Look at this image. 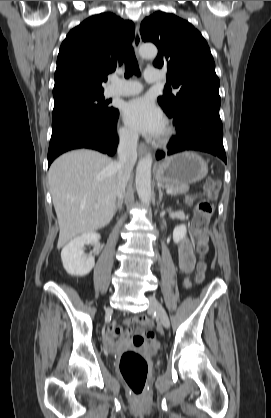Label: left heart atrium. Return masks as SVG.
<instances>
[{
  "instance_id": "39dd6f15",
  "label": "left heart atrium",
  "mask_w": 271,
  "mask_h": 418,
  "mask_svg": "<svg viewBox=\"0 0 271 418\" xmlns=\"http://www.w3.org/2000/svg\"><path fill=\"white\" fill-rule=\"evenodd\" d=\"M123 119L132 131L147 136H158L165 128L162 112L145 97L127 102L123 107Z\"/></svg>"
}]
</instances>
